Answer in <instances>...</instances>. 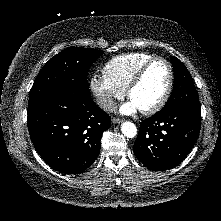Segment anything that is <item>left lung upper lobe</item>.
<instances>
[{"instance_id":"5c2ea615","label":"left lung upper lobe","mask_w":221,"mask_h":221,"mask_svg":"<svg viewBox=\"0 0 221 221\" xmlns=\"http://www.w3.org/2000/svg\"><path fill=\"white\" fill-rule=\"evenodd\" d=\"M174 70V87L163 109L173 106L200 108L199 97L187 68L176 57H171Z\"/></svg>"}]
</instances>
